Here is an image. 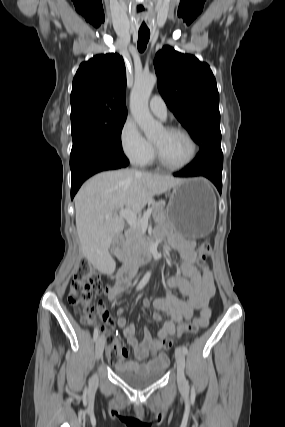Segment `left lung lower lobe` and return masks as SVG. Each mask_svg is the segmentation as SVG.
Returning <instances> with one entry per match:
<instances>
[{
  "mask_svg": "<svg viewBox=\"0 0 285 427\" xmlns=\"http://www.w3.org/2000/svg\"><path fill=\"white\" fill-rule=\"evenodd\" d=\"M223 154L221 149H206L182 171L174 173L176 177L205 176L222 190Z\"/></svg>",
  "mask_w": 285,
  "mask_h": 427,
  "instance_id": "0a47b994",
  "label": "left lung lower lobe"
}]
</instances>
